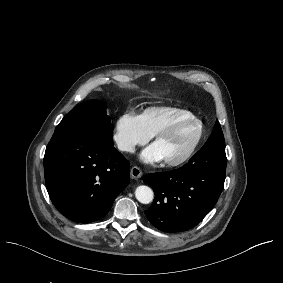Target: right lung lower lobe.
Instances as JSON below:
<instances>
[{"label":"right lung lower lobe","instance_id":"right-lung-lower-lobe-1","mask_svg":"<svg viewBox=\"0 0 283 283\" xmlns=\"http://www.w3.org/2000/svg\"><path fill=\"white\" fill-rule=\"evenodd\" d=\"M51 201L65 217L90 223L104 217L129 184V162L112 138L73 131L53 134L44 156Z\"/></svg>","mask_w":283,"mask_h":283}]
</instances>
